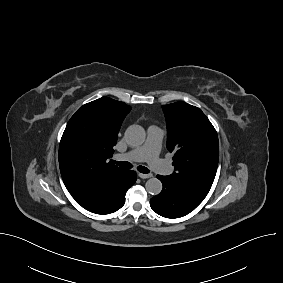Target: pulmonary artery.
Returning a JSON list of instances; mask_svg holds the SVG:
<instances>
[{
	"mask_svg": "<svg viewBox=\"0 0 283 283\" xmlns=\"http://www.w3.org/2000/svg\"><path fill=\"white\" fill-rule=\"evenodd\" d=\"M163 137L164 131L161 128L150 126L143 146L123 154H118L115 158L122 161H146L156 172L168 175L172 172V168L159 157Z\"/></svg>",
	"mask_w": 283,
	"mask_h": 283,
	"instance_id": "pulmonary-artery-1",
	"label": "pulmonary artery"
}]
</instances>
